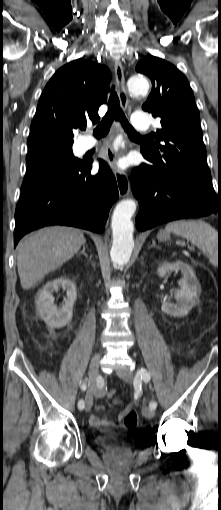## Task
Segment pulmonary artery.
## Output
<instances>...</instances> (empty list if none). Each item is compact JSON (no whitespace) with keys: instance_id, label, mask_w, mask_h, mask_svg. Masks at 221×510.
<instances>
[{"instance_id":"1","label":"pulmonary artery","mask_w":221,"mask_h":510,"mask_svg":"<svg viewBox=\"0 0 221 510\" xmlns=\"http://www.w3.org/2000/svg\"><path fill=\"white\" fill-rule=\"evenodd\" d=\"M131 125L135 130L147 131L150 127V119L145 113L135 112L131 118ZM95 145V141L89 138L85 143V149H90Z\"/></svg>"}]
</instances>
